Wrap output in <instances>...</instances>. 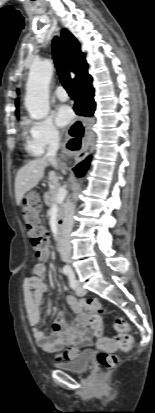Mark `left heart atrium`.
Instances as JSON below:
<instances>
[{
	"label": "left heart atrium",
	"mask_w": 155,
	"mask_h": 413,
	"mask_svg": "<svg viewBox=\"0 0 155 413\" xmlns=\"http://www.w3.org/2000/svg\"><path fill=\"white\" fill-rule=\"evenodd\" d=\"M72 117H73V113L70 107L66 105H62L57 109L55 119H56L57 124L63 127L72 120Z\"/></svg>",
	"instance_id": "1"
}]
</instances>
